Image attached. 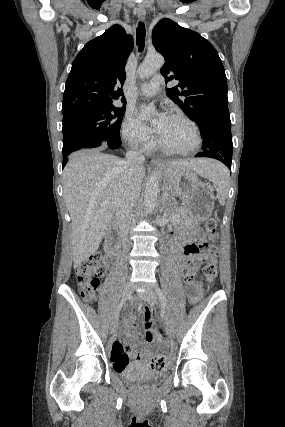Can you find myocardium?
Masks as SVG:
<instances>
[{
	"label": "myocardium",
	"instance_id": "f54148a6",
	"mask_svg": "<svg viewBox=\"0 0 285 427\" xmlns=\"http://www.w3.org/2000/svg\"><path fill=\"white\" fill-rule=\"evenodd\" d=\"M169 116L176 118V119H180V120L186 122L187 124H189L191 126V128L193 129L196 141H195V144L191 148L181 150V149L174 148V147L166 144L165 142H163L161 139H159L158 143L161 146V148L163 150L169 152V153L178 154V155H190V154L195 153L201 147V145L203 143L202 134H201V131H200L198 124L194 120H192L190 117H188L182 113H171Z\"/></svg>",
	"mask_w": 285,
	"mask_h": 427
}]
</instances>
